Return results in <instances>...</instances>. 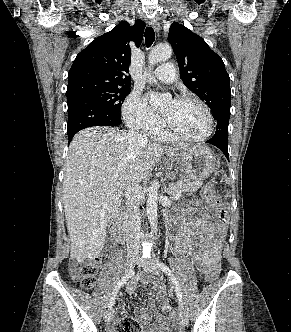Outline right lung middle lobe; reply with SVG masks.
Here are the masks:
<instances>
[{
    "label": "right lung middle lobe",
    "mask_w": 291,
    "mask_h": 332,
    "mask_svg": "<svg viewBox=\"0 0 291 332\" xmlns=\"http://www.w3.org/2000/svg\"><path fill=\"white\" fill-rule=\"evenodd\" d=\"M130 93L129 87H112L106 89H96L83 92L75 97H67V102L78 96H84L92 100L97 101L98 103L104 105L111 111L115 112L118 118H121V105Z\"/></svg>",
    "instance_id": "obj_1"
}]
</instances>
